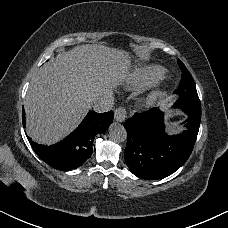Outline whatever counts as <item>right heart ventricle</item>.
I'll return each instance as SVG.
<instances>
[{
  "instance_id": "1",
  "label": "right heart ventricle",
  "mask_w": 228,
  "mask_h": 228,
  "mask_svg": "<svg viewBox=\"0 0 228 228\" xmlns=\"http://www.w3.org/2000/svg\"><path fill=\"white\" fill-rule=\"evenodd\" d=\"M163 72L161 69H156L148 80H156L162 76Z\"/></svg>"
}]
</instances>
